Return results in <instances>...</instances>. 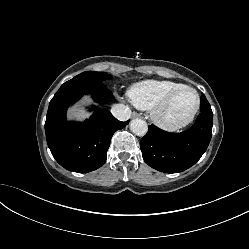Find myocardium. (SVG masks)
Listing matches in <instances>:
<instances>
[{"instance_id":"1","label":"myocardium","mask_w":249,"mask_h":249,"mask_svg":"<svg viewBox=\"0 0 249 249\" xmlns=\"http://www.w3.org/2000/svg\"><path fill=\"white\" fill-rule=\"evenodd\" d=\"M183 90H189L193 92L195 95V104H194L192 111L185 118L178 120V121H169L165 119L164 112L169 107L174 97ZM199 107H200V96L197 90L191 86L182 85L171 90L163 99H161L152 108L151 117L153 121L161 128L170 130V131H176V130L186 127L188 124H190L193 121V119L195 118L199 110Z\"/></svg>"}]
</instances>
